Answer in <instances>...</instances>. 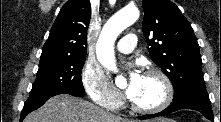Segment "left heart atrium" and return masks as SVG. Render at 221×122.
<instances>
[{
  "label": "left heart atrium",
  "instance_id": "1",
  "mask_svg": "<svg viewBox=\"0 0 221 122\" xmlns=\"http://www.w3.org/2000/svg\"><path fill=\"white\" fill-rule=\"evenodd\" d=\"M141 79L142 76L138 72H130L128 86L126 88V95L128 98L131 99L135 95L141 83Z\"/></svg>",
  "mask_w": 221,
  "mask_h": 122
}]
</instances>
